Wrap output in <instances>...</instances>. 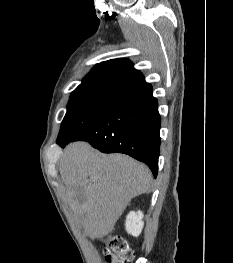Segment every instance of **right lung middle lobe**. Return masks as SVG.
I'll use <instances>...</instances> for the list:
<instances>
[{
	"instance_id": "dd1d6c3e",
	"label": "right lung middle lobe",
	"mask_w": 233,
	"mask_h": 263,
	"mask_svg": "<svg viewBox=\"0 0 233 263\" xmlns=\"http://www.w3.org/2000/svg\"><path fill=\"white\" fill-rule=\"evenodd\" d=\"M117 95H71L57 140L73 139L92 126L108 110Z\"/></svg>"
}]
</instances>
